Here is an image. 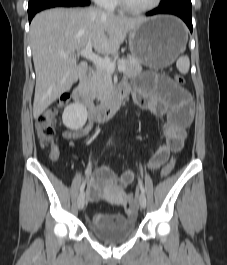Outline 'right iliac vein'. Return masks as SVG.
Segmentation results:
<instances>
[{
    "label": "right iliac vein",
    "mask_w": 227,
    "mask_h": 265,
    "mask_svg": "<svg viewBox=\"0 0 227 265\" xmlns=\"http://www.w3.org/2000/svg\"><path fill=\"white\" fill-rule=\"evenodd\" d=\"M85 205V193L82 192L79 197H78V200H77V206H78V209L81 210L83 209Z\"/></svg>",
    "instance_id": "right-iliac-vein-1"
}]
</instances>
